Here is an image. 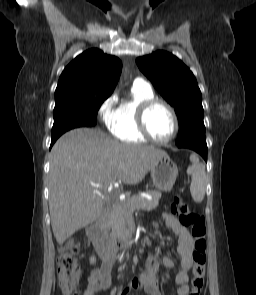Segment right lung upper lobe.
<instances>
[{
    "label": "right lung upper lobe",
    "mask_w": 256,
    "mask_h": 295,
    "mask_svg": "<svg viewBox=\"0 0 256 295\" xmlns=\"http://www.w3.org/2000/svg\"><path fill=\"white\" fill-rule=\"evenodd\" d=\"M122 69L121 61L99 49L77 56L62 72L55 91V102H79L108 98Z\"/></svg>",
    "instance_id": "cb5924a9"
}]
</instances>
